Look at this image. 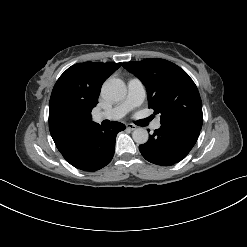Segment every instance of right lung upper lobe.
<instances>
[{
  "label": "right lung upper lobe",
  "instance_id": "obj_1",
  "mask_svg": "<svg viewBox=\"0 0 247 247\" xmlns=\"http://www.w3.org/2000/svg\"><path fill=\"white\" fill-rule=\"evenodd\" d=\"M120 66L121 63H77L59 77L49 102V130L58 149L94 123L91 111L98 103L102 84ZM70 114L86 122L68 123L65 116Z\"/></svg>",
  "mask_w": 247,
  "mask_h": 247
}]
</instances>
